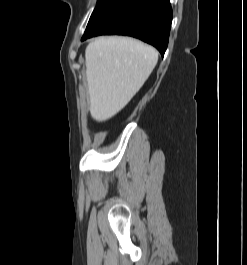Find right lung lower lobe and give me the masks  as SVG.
Returning <instances> with one entry per match:
<instances>
[{
	"label": "right lung lower lobe",
	"instance_id": "obj_1",
	"mask_svg": "<svg viewBox=\"0 0 247 265\" xmlns=\"http://www.w3.org/2000/svg\"><path fill=\"white\" fill-rule=\"evenodd\" d=\"M171 22L169 0H101L81 41L103 34L128 35L152 44L163 56Z\"/></svg>",
	"mask_w": 247,
	"mask_h": 265
}]
</instances>
